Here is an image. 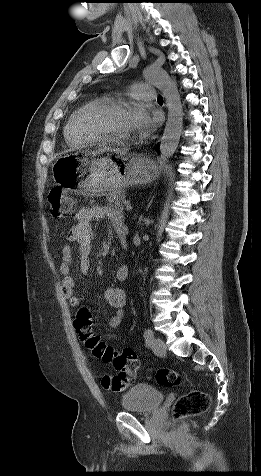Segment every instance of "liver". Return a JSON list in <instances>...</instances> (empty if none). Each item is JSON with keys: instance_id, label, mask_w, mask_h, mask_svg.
I'll return each instance as SVG.
<instances>
[{"instance_id": "liver-1", "label": "liver", "mask_w": 261, "mask_h": 476, "mask_svg": "<svg viewBox=\"0 0 261 476\" xmlns=\"http://www.w3.org/2000/svg\"><path fill=\"white\" fill-rule=\"evenodd\" d=\"M106 150H107V151L114 152V153H116V154H124V153H126V152H125V150H119V149H106V148H105V149H99L98 151H99V152H104V151H106Z\"/></svg>"}]
</instances>
